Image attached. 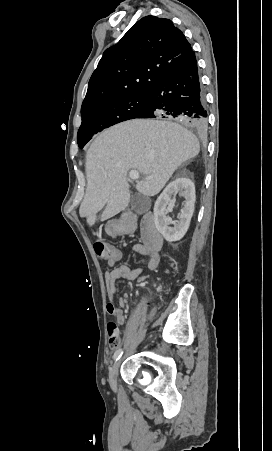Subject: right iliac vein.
<instances>
[{
  "mask_svg": "<svg viewBox=\"0 0 272 451\" xmlns=\"http://www.w3.org/2000/svg\"><path fill=\"white\" fill-rule=\"evenodd\" d=\"M119 366H120V361H117L113 365V367L111 368V370L109 372V384L111 386H115L116 385Z\"/></svg>",
  "mask_w": 272,
  "mask_h": 451,
  "instance_id": "63e3f726",
  "label": "right iliac vein"
}]
</instances>
